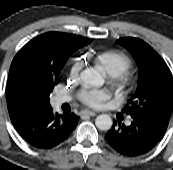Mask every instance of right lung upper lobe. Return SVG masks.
I'll return each mask as SVG.
<instances>
[{
  "mask_svg": "<svg viewBox=\"0 0 173 170\" xmlns=\"http://www.w3.org/2000/svg\"><path fill=\"white\" fill-rule=\"evenodd\" d=\"M91 42L78 35L44 33L29 41L14 57L8 76L9 115L49 107V95L71 54Z\"/></svg>",
  "mask_w": 173,
  "mask_h": 170,
  "instance_id": "right-lung-upper-lobe-1",
  "label": "right lung upper lobe"
}]
</instances>
